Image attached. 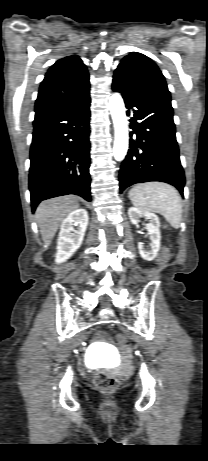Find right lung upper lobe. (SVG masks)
I'll use <instances>...</instances> for the list:
<instances>
[{"label": "right lung upper lobe", "mask_w": 208, "mask_h": 461, "mask_svg": "<svg viewBox=\"0 0 208 461\" xmlns=\"http://www.w3.org/2000/svg\"><path fill=\"white\" fill-rule=\"evenodd\" d=\"M90 90L86 65L77 55L55 62L41 82L35 103V117L83 101Z\"/></svg>", "instance_id": "right-lung-upper-lobe-1"}]
</instances>
